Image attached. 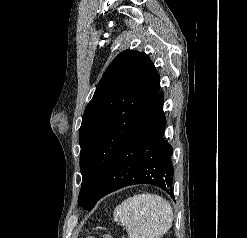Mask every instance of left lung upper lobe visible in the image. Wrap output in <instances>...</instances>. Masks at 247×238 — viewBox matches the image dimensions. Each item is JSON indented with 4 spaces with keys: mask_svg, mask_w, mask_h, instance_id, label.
<instances>
[{
    "mask_svg": "<svg viewBox=\"0 0 247 238\" xmlns=\"http://www.w3.org/2000/svg\"><path fill=\"white\" fill-rule=\"evenodd\" d=\"M160 89V76L149 57L127 50L107 67L79 130L82 185L78 203L92 210L113 158L144 117Z\"/></svg>",
    "mask_w": 247,
    "mask_h": 238,
    "instance_id": "left-lung-upper-lobe-1",
    "label": "left lung upper lobe"
}]
</instances>
